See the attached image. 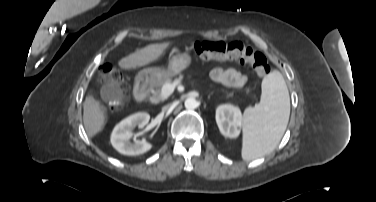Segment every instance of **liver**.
<instances>
[{
	"label": "liver",
	"instance_id": "liver-1",
	"mask_svg": "<svg viewBox=\"0 0 376 202\" xmlns=\"http://www.w3.org/2000/svg\"><path fill=\"white\" fill-rule=\"evenodd\" d=\"M170 44V42L150 44L122 58L118 62V65L121 69L125 70L136 69L137 67L147 65L156 61ZM83 122L89 137L95 136L105 125V113L102 110L100 102L95 100L92 96L85 98L83 104Z\"/></svg>",
	"mask_w": 376,
	"mask_h": 202
}]
</instances>
